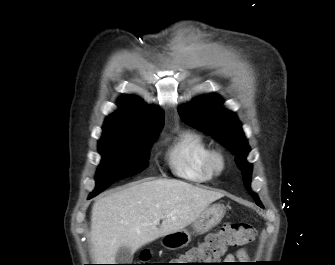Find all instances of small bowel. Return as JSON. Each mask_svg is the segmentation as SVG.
I'll use <instances>...</instances> for the list:
<instances>
[{
  "instance_id": "small-bowel-1",
  "label": "small bowel",
  "mask_w": 335,
  "mask_h": 265,
  "mask_svg": "<svg viewBox=\"0 0 335 265\" xmlns=\"http://www.w3.org/2000/svg\"><path fill=\"white\" fill-rule=\"evenodd\" d=\"M227 263H233L235 260L246 261L248 260V253L245 249H240L236 254H229L226 256Z\"/></svg>"
}]
</instances>
